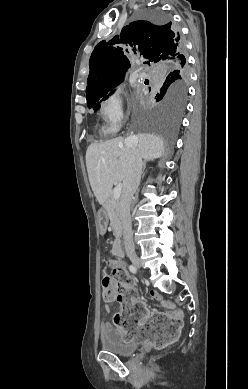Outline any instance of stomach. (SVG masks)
I'll use <instances>...</instances> for the list:
<instances>
[{
    "label": "stomach",
    "mask_w": 248,
    "mask_h": 389,
    "mask_svg": "<svg viewBox=\"0 0 248 389\" xmlns=\"http://www.w3.org/2000/svg\"><path fill=\"white\" fill-rule=\"evenodd\" d=\"M99 213H100V229H99V234L100 235H105L106 232L108 231V226L106 220H110V213H106V208L105 207H100L99 208Z\"/></svg>",
    "instance_id": "obj_1"
}]
</instances>
